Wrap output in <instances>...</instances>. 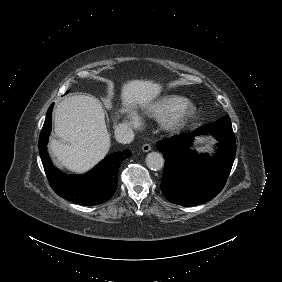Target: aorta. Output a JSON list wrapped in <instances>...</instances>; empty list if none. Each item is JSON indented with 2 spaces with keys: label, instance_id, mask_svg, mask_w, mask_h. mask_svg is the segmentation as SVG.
Listing matches in <instances>:
<instances>
[{
  "label": "aorta",
  "instance_id": "aorta-1",
  "mask_svg": "<svg viewBox=\"0 0 282 282\" xmlns=\"http://www.w3.org/2000/svg\"><path fill=\"white\" fill-rule=\"evenodd\" d=\"M146 165L153 170H160L164 165L163 156L159 152L152 151L146 155Z\"/></svg>",
  "mask_w": 282,
  "mask_h": 282
}]
</instances>
